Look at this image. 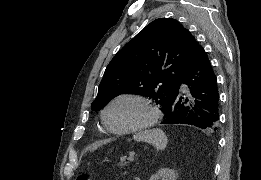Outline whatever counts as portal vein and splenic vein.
Segmentation results:
<instances>
[{
	"label": "portal vein and splenic vein",
	"instance_id": "portal-vein-and-splenic-vein-1",
	"mask_svg": "<svg viewBox=\"0 0 261 180\" xmlns=\"http://www.w3.org/2000/svg\"><path fill=\"white\" fill-rule=\"evenodd\" d=\"M129 161H136V156H134V152H130V156L128 157Z\"/></svg>",
	"mask_w": 261,
	"mask_h": 180
}]
</instances>
